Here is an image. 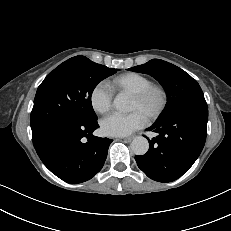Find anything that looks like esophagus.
Instances as JSON below:
<instances>
[{
    "instance_id": "1",
    "label": "esophagus",
    "mask_w": 231,
    "mask_h": 231,
    "mask_svg": "<svg viewBox=\"0 0 231 231\" xmlns=\"http://www.w3.org/2000/svg\"><path fill=\"white\" fill-rule=\"evenodd\" d=\"M120 139L125 140V141H131L132 137H120Z\"/></svg>"
}]
</instances>
